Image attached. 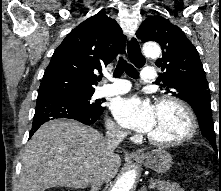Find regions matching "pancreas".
<instances>
[{
	"instance_id": "obj_1",
	"label": "pancreas",
	"mask_w": 221,
	"mask_h": 191,
	"mask_svg": "<svg viewBox=\"0 0 221 191\" xmlns=\"http://www.w3.org/2000/svg\"><path fill=\"white\" fill-rule=\"evenodd\" d=\"M149 182L155 185L159 191H184V189L176 183L166 182L159 179H151Z\"/></svg>"
}]
</instances>
